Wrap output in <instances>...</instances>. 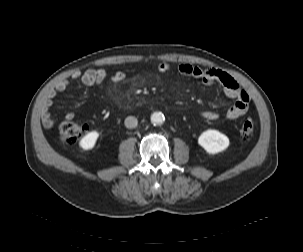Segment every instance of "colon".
Listing matches in <instances>:
<instances>
[{
  "mask_svg": "<svg viewBox=\"0 0 303 252\" xmlns=\"http://www.w3.org/2000/svg\"><path fill=\"white\" fill-rule=\"evenodd\" d=\"M86 129L72 121H64L59 127V133L66 142H76ZM255 126L252 122H244L241 125L240 132L243 137L249 138L253 135Z\"/></svg>",
  "mask_w": 303,
  "mask_h": 252,
  "instance_id": "5ec220e1",
  "label": "colon"
}]
</instances>
